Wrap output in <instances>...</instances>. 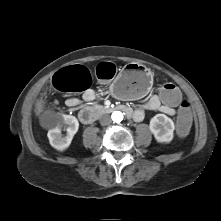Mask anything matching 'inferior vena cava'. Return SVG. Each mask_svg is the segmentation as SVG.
<instances>
[{"mask_svg": "<svg viewBox=\"0 0 221 221\" xmlns=\"http://www.w3.org/2000/svg\"><path fill=\"white\" fill-rule=\"evenodd\" d=\"M111 123V118L109 115L105 114L100 118L101 125H109Z\"/></svg>", "mask_w": 221, "mask_h": 221, "instance_id": "1", "label": "inferior vena cava"}]
</instances>
